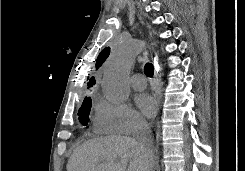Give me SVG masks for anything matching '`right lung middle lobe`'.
I'll list each match as a JSON object with an SVG mask.
<instances>
[{"label": "right lung middle lobe", "mask_w": 245, "mask_h": 171, "mask_svg": "<svg viewBox=\"0 0 245 171\" xmlns=\"http://www.w3.org/2000/svg\"><path fill=\"white\" fill-rule=\"evenodd\" d=\"M91 109V99L86 97L79 109L78 115L80 122L86 126L89 121V113Z\"/></svg>", "instance_id": "dd1d6c3e"}]
</instances>
